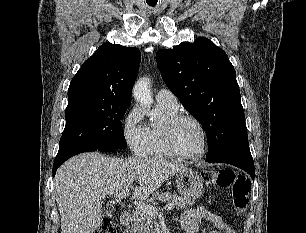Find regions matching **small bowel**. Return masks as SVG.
Wrapping results in <instances>:
<instances>
[{"instance_id": "c3829d8e", "label": "small bowel", "mask_w": 306, "mask_h": 233, "mask_svg": "<svg viewBox=\"0 0 306 233\" xmlns=\"http://www.w3.org/2000/svg\"><path fill=\"white\" fill-rule=\"evenodd\" d=\"M201 221H207L212 225L213 229L210 233H236L220 216L202 207L186 210L178 218V222L185 230V233H198Z\"/></svg>"}]
</instances>
